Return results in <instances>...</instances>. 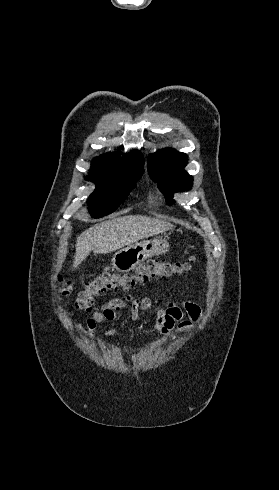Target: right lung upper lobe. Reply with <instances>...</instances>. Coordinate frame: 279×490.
<instances>
[{
	"mask_svg": "<svg viewBox=\"0 0 279 490\" xmlns=\"http://www.w3.org/2000/svg\"><path fill=\"white\" fill-rule=\"evenodd\" d=\"M143 163L142 154L139 151H133L122 158L116 153H107L92 161L90 174L100 179L109 178L126 170L143 169Z\"/></svg>",
	"mask_w": 279,
	"mask_h": 490,
	"instance_id": "obj_1",
	"label": "right lung upper lobe"
}]
</instances>
